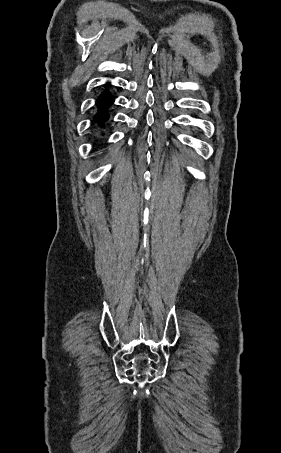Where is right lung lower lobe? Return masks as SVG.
Returning <instances> with one entry per match:
<instances>
[{"label":"right lung lower lobe","mask_w":281,"mask_h":453,"mask_svg":"<svg viewBox=\"0 0 281 453\" xmlns=\"http://www.w3.org/2000/svg\"><path fill=\"white\" fill-rule=\"evenodd\" d=\"M114 98L108 93H102L97 99L98 113L95 116V121L102 125L109 117L106 109L113 103Z\"/></svg>","instance_id":"98d812e1"}]
</instances>
